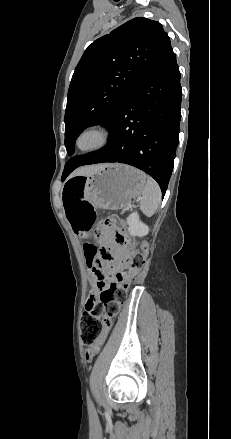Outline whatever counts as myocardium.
Segmentation results:
<instances>
[{"label": "myocardium", "instance_id": "f54148a6", "mask_svg": "<svg viewBox=\"0 0 231 439\" xmlns=\"http://www.w3.org/2000/svg\"><path fill=\"white\" fill-rule=\"evenodd\" d=\"M110 129L101 123H91L76 134L74 147L83 154L95 153L106 148L111 142ZM91 140L90 143L87 141Z\"/></svg>", "mask_w": 231, "mask_h": 439}]
</instances>
